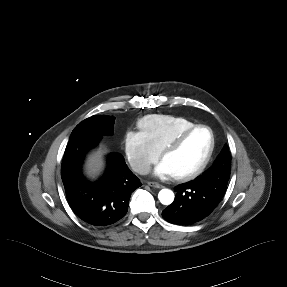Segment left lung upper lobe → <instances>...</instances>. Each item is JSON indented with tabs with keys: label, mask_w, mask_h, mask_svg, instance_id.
<instances>
[{
	"label": "left lung upper lobe",
	"mask_w": 287,
	"mask_h": 287,
	"mask_svg": "<svg viewBox=\"0 0 287 287\" xmlns=\"http://www.w3.org/2000/svg\"><path fill=\"white\" fill-rule=\"evenodd\" d=\"M215 169H221L227 173L228 177L230 176V153H229V148L227 145L224 146L222 152L219 154V156L215 160L213 166L209 168L201 176L197 177L196 179L210 180V178L213 176L212 171Z\"/></svg>",
	"instance_id": "obj_1"
}]
</instances>
